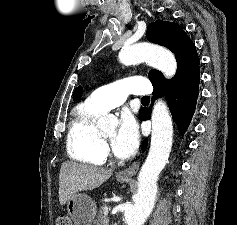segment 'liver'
I'll return each instance as SVG.
<instances>
[{
    "instance_id": "liver-1",
    "label": "liver",
    "mask_w": 237,
    "mask_h": 225,
    "mask_svg": "<svg viewBox=\"0 0 237 225\" xmlns=\"http://www.w3.org/2000/svg\"><path fill=\"white\" fill-rule=\"evenodd\" d=\"M113 171L76 162H64L59 173V202L64 205L73 195L93 190L108 180Z\"/></svg>"
}]
</instances>
